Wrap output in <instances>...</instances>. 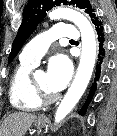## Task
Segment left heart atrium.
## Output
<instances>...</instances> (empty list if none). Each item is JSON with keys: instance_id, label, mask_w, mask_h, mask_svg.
Wrapping results in <instances>:
<instances>
[{"instance_id": "obj_1", "label": "left heart atrium", "mask_w": 117, "mask_h": 136, "mask_svg": "<svg viewBox=\"0 0 117 136\" xmlns=\"http://www.w3.org/2000/svg\"><path fill=\"white\" fill-rule=\"evenodd\" d=\"M72 73L70 60L64 54H56L50 58L47 80L50 88L56 93L67 85Z\"/></svg>"}]
</instances>
